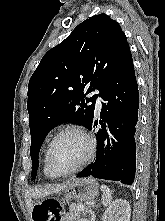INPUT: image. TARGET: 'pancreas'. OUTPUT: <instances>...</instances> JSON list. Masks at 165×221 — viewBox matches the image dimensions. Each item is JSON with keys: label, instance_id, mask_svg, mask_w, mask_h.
<instances>
[{"label": "pancreas", "instance_id": "cf45deb5", "mask_svg": "<svg viewBox=\"0 0 165 221\" xmlns=\"http://www.w3.org/2000/svg\"><path fill=\"white\" fill-rule=\"evenodd\" d=\"M79 204H71L69 208V212L65 215V221H76L80 218L81 211L77 209Z\"/></svg>", "mask_w": 165, "mask_h": 221}]
</instances>
